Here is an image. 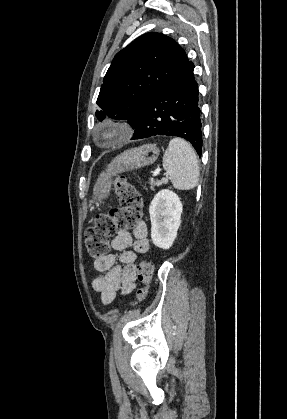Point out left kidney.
Segmentation results:
<instances>
[{
	"instance_id": "left-kidney-1",
	"label": "left kidney",
	"mask_w": 287,
	"mask_h": 419,
	"mask_svg": "<svg viewBox=\"0 0 287 419\" xmlns=\"http://www.w3.org/2000/svg\"><path fill=\"white\" fill-rule=\"evenodd\" d=\"M182 211L180 198L173 191L164 189L155 195L149 207L151 239L155 246L169 249L173 245L181 224Z\"/></svg>"
}]
</instances>
